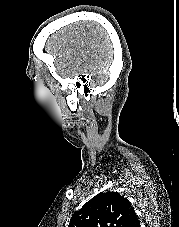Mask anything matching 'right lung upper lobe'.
Here are the masks:
<instances>
[{"instance_id": "cb5924a9", "label": "right lung upper lobe", "mask_w": 179, "mask_h": 227, "mask_svg": "<svg viewBox=\"0 0 179 227\" xmlns=\"http://www.w3.org/2000/svg\"><path fill=\"white\" fill-rule=\"evenodd\" d=\"M68 227H140L127 198L117 192L100 193L73 214Z\"/></svg>"}]
</instances>
